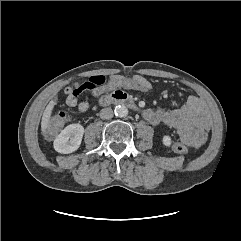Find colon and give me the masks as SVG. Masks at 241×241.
Returning a JSON list of instances; mask_svg holds the SVG:
<instances>
[{
	"instance_id": "5ec220e1",
	"label": "colon",
	"mask_w": 241,
	"mask_h": 241,
	"mask_svg": "<svg viewBox=\"0 0 241 241\" xmlns=\"http://www.w3.org/2000/svg\"><path fill=\"white\" fill-rule=\"evenodd\" d=\"M126 89L139 90L147 94L152 91L151 84L141 76H119L106 81L104 76L95 75L89 77L85 82L74 84L71 93L74 97H79L85 91L98 95L103 92H109V94L122 92ZM67 118V114L62 111L52 117L45 126L47 136L54 137L62 128ZM172 149L180 155H186L188 153L187 147L181 142H175Z\"/></svg>"
}]
</instances>
